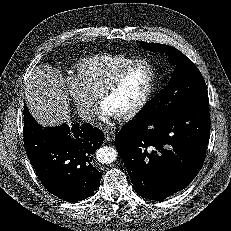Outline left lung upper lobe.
Wrapping results in <instances>:
<instances>
[{"label":"left lung upper lobe","instance_id":"obj_1","mask_svg":"<svg viewBox=\"0 0 231 231\" xmlns=\"http://www.w3.org/2000/svg\"><path fill=\"white\" fill-rule=\"evenodd\" d=\"M140 45L149 51L167 54L176 70L168 85L142 109L136 119L155 120L190 106L209 103L204 78L187 56L165 44L140 42Z\"/></svg>","mask_w":231,"mask_h":231}]
</instances>
